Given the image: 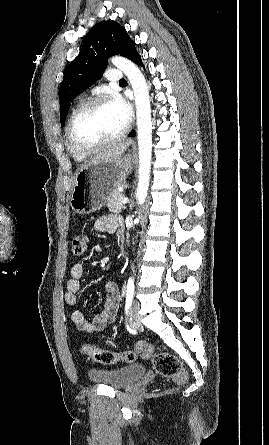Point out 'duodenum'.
I'll return each instance as SVG.
<instances>
[{
    "label": "duodenum",
    "instance_id": "obj_1",
    "mask_svg": "<svg viewBox=\"0 0 269 445\" xmlns=\"http://www.w3.org/2000/svg\"><path fill=\"white\" fill-rule=\"evenodd\" d=\"M119 239H120L121 243H123V242H124V237H123V235H122V234H119Z\"/></svg>",
    "mask_w": 269,
    "mask_h": 445
}]
</instances>
